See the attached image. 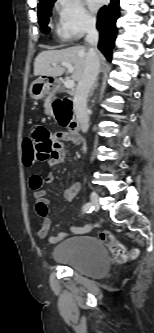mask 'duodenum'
<instances>
[{
	"label": "duodenum",
	"mask_w": 154,
	"mask_h": 333,
	"mask_svg": "<svg viewBox=\"0 0 154 333\" xmlns=\"http://www.w3.org/2000/svg\"><path fill=\"white\" fill-rule=\"evenodd\" d=\"M56 82H51L52 86H56ZM55 114L58 115L57 110H54ZM70 126L72 127V135L78 136L79 135V123L77 120L71 121Z\"/></svg>",
	"instance_id": "duodenum-1"
}]
</instances>
